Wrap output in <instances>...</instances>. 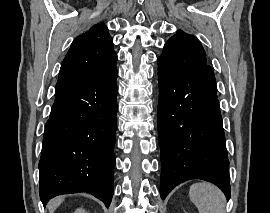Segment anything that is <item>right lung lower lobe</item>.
Listing matches in <instances>:
<instances>
[{"label": "right lung lower lobe", "mask_w": 270, "mask_h": 213, "mask_svg": "<svg viewBox=\"0 0 270 213\" xmlns=\"http://www.w3.org/2000/svg\"><path fill=\"white\" fill-rule=\"evenodd\" d=\"M117 71L58 91L45 125L39 162L40 198L89 192L109 207L115 166Z\"/></svg>", "instance_id": "obj_1"}]
</instances>
